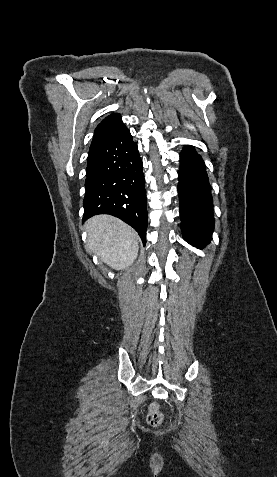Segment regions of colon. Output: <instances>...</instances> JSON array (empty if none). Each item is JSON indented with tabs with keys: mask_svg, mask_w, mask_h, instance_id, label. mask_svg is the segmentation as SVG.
Listing matches in <instances>:
<instances>
[{
	"mask_svg": "<svg viewBox=\"0 0 277 477\" xmlns=\"http://www.w3.org/2000/svg\"><path fill=\"white\" fill-rule=\"evenodd\" d=\"M163 413L161 412L159 406L156 403H153L149 406L147 414V422L151 426H158L163 421Z\"/></svg>",
	"mask_w": 277,
	"mask_h": 477,
	"instance_id": "5ec220e1",
	"label": "colon"
}]
</instances>
